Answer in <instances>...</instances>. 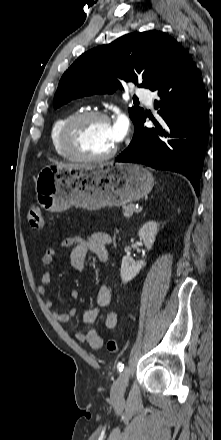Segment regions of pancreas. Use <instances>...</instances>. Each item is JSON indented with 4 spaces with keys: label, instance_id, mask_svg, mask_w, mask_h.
<instances>
[{
    "label": "pancreas",
    "instance_id": "pancreas-1",
    "mask_svg": "<svg viewBox=\"0 0 221 440\" xmlns=\"http://www.w3.org/2000/svg\"><path fill=\"white\" fill-rule=\"evenodd\" d=\"M136 208L134 204L124 205L123 206V215L127 218L131 217L135 212Z\"/></svg>",
    "mask_w": 221,
    "mask_h": 440
}]
</instances>
